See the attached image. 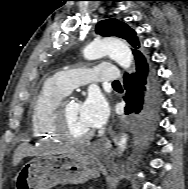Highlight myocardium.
<instances>
[{
	"instance_id": "1",
	"label": "myocardium",
	"mask_w": 188,
	"mask_h": 189,
	"mask_svg": "<svg viewBox=\"0 0 188 189\" xmlns=\"http://www.w3.org/2000/svg\"><path fill=\"white\" fill-rule=\"evenodd\" d=\"M75 100L73 97L66 96L59 103L54 115H53V128L60 139L68 143H84L89 141L93 132L89 131L88 133L81 136H74L69 133L67 128V107L68 104Z\"/></svg>"
}]
</instances>
